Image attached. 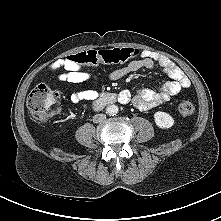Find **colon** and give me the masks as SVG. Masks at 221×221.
Listing matches in <instances>:
<instances>
[{"label": "colon", "instance_id": "5ec220e1", "mask_svg": "<svg viewBox=\"0 0 221 221\" xmlns=\"http://www.w3.org/2000/svg\"><path fill=\"white\" fill-rule=\"evenodd\" d=\"M134 48H114L109 50L89 49L68 57L70 64L76 66H96L101 63L119 64L127 62L138 55ZM60 94L44 84L37 85L27 99L28 109L37 123H45L54 117L59 111ZM178 112L182 116H191L195 107L190 102H181Z\"/></svg>", "mask_w": 221, "mask_h": 221}]
</instances>
